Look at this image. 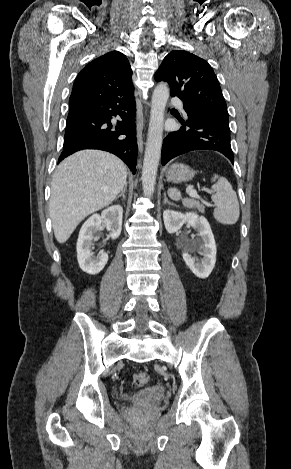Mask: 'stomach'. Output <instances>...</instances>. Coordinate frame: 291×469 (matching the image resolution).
Returning <instances> with one entry per match:
<instances>
[{
  "label": "stomach",
  "instance_id": "1",
  "mask_svg": "<svg viewBox=\"0 0 291 469\" xmlns=\"http://www.w3.org/2000/svg\"><path fill=\"white\" fill-rule=\"evenodd\" d=\"M195 175L193 169L188 165L181 163H174L166 170V178L173 183H181L191 180Z\"/></svg>",
  "mask_w": 291,
  "mask_h": 469
}]
</instances>
